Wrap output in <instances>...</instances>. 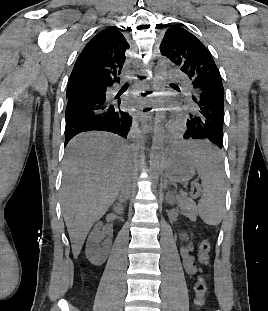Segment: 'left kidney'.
<instances>
[{
  "label": "left kidney",
  "instance_id": "1",
  "mask_svg": "<svg viewBox=\"0 0 268 311\" xmlns=\"http://www.w3.org/2000/svg\"><path fill=\"white\" fill-rule=\"evenodd\" d=\"M175 200H176V197L173 196V195H171L170 197H168V201H167V202H168L169 204H174Z\"/></svg>",
  "mask_w": 268,
  "mask_h": 311
}]
</instances>
